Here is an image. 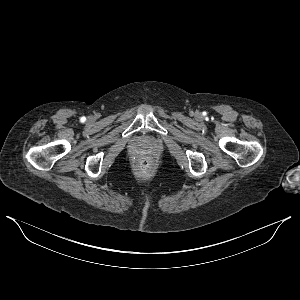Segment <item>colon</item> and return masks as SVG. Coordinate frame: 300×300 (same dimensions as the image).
<instances>
[{
  "instance_id": "5ec220e1",
  "label": "colon",
  "mask_w": 300,
  "mask_h": 300,
  "mask_svg": "<svg viewBox=\"0 0 300 300\" xmlns=\"http://www.w3.org/2000/svg\"><path fill=\"white\" fill-rule=\"evenodd\" d=\"M136 166L142 173H147L152 170L154 160L149 156L141 157L137 160Z\"/></svg>"
}]
</instances>
